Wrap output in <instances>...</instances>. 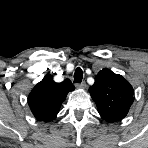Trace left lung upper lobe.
I'll return each instance as SVG.
<instances>
[{"mask_svg": "<svg viewBox=\"0 0 148 148\" xmlns=\"http://www.w3.org/2000/svg\"><path fill=\"white\" fill-rule=\"evenodd\" d=\"M89 92L100 116L111 123L122 120L134 101V90L129 82L107 68L96 75Z\"/></svg>", "mask_w": 148, "mask_h": 148, "instance_id": "obj_1", "label": "left lung upper lobe"}]
</instances>
